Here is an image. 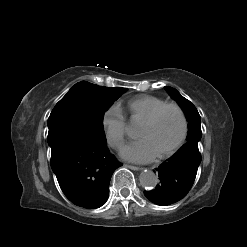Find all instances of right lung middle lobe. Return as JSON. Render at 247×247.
I'll use <instances>...</instances> for the list:
<instances>
[{
  "instance_id": "dd1d6c3e",
  "label": "right lung middle lobe",
  "mask_w": 247,
  "mask_h": 247,
  "mask_svg": "<svg viewBox=\"0 0 247 247\" xmlns=\"http://www.w3.org/2000/svg\"><path fill=\"white\" fill-rule=\"evenodd\" d=\"M125 91L121 87L109 88L86 81L79 82L56 104L47 125L49 128L73 126L106 143L102 124L104 112Z\"/></svg>"
}]
</instances>
